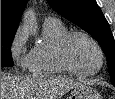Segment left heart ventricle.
Instances as JSON below:
<instances>
[{"mask_svg":"<svg viewBox=\"0 0 115 99\" xmlns=\"http://www.w3.org/2000/svg\"><path fill=\"white\" fill-rule=\"evenodd\" d=\"M67 53L72 64L82 71L95 70L100 62L95 46L83 37H74L68 44Z\"/></svg>","mask_w":115,"mask_h":99,"instance_id":"obj_1","label":"left heart ventricle"}]
</instances>
